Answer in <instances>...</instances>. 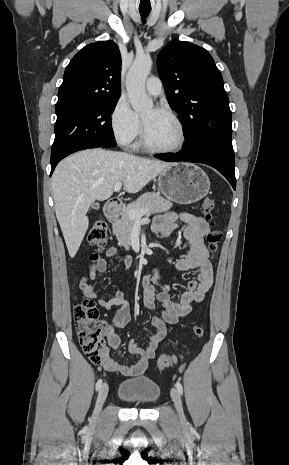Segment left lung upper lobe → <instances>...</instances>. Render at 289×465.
<instances>
[{"label":"left lung upper lobe","mask_w":289,"mask_h":465,"mask_svg":"<svg viewBox=\"0 0 289 465\" xmlns=\"http://www.w3.org/2000/svg\"><path fill=\"white\" fill-rule=\"evenodd\" d=\"M157 65L169 105L184 123V150L202 143L233 148L229 99L212 56L176 40L160 51Z\"/></svg>","instance_id":"5c2ea615"}]
</instances>
